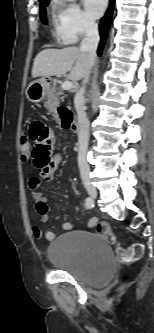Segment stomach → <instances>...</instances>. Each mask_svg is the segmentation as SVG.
Returning <instances> with one entry per match:
<instances>
[{
    "label": "stomach",
    "instance_id": "stomach-1",
    "mask_svg": "<svg viewBox=\"0 0 154 333\" xmlns=\"http://www.w3.org/2000/svg\"><path fill=\"white\" fill-rule=\"evenodd\" d=\"M50 83L45 79H38L31 82L26 89V97L32 103H39L50 92Z\"/></svg>",
    "mask_w": 154,
    "mask_h": 333
}]
</instances>
